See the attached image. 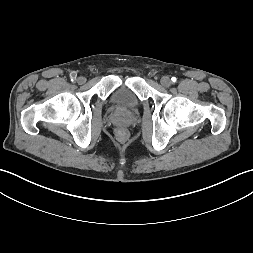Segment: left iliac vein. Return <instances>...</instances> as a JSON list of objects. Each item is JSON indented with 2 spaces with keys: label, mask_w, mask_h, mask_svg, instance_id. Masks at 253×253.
Returning <instances> with one entry per match:
<instances>
[{
  "label": "left iliac vein",
  "mask_w": 253,
  "mask_h": 253,
  "mask_svg": "<svg viewBox=\"0 0 253 253\" xmlns=\"http://www.w3.org/2000/svg\"><path fill=\"white\" fill-rule=\"evenodd\" d=\"M161 85L163 86V87H169L171 84H172V82H171V80H170V78L168 77V76H163L162 78H161Z\"/></svg>",
  "instance_id": "obj_1"
}]
</instances>
